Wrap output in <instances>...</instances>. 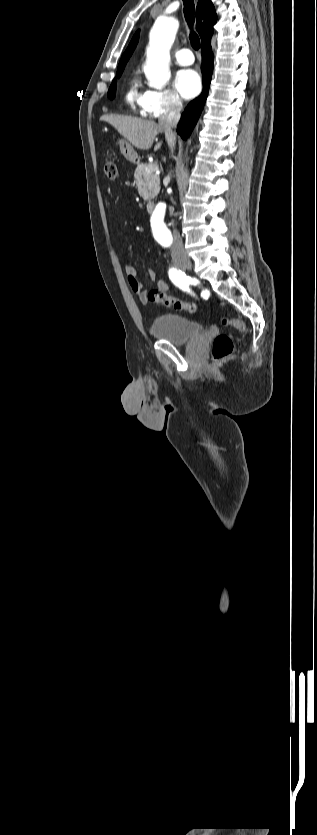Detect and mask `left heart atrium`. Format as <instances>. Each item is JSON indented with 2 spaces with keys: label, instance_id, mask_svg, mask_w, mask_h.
Returning <instances> with one entry per match:
<instances>
[{
  "label": "left heart atrium",
  "instance_id": "obj_1",
  "mask_svg": "<svg viewBox=\"0 0 317 835\" xmlns=\"http://www.w3.org/2000/svg\"><path fill=\"white\" fill-rule=\"evenodd\" d=\"M175 87L186 99L196 96L201 90L198 73L192 69L180 70L175 78Z\"/></svg>",
  "mask_w": 317,
  "mask_h": 835
}]
</instances>
